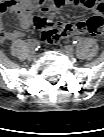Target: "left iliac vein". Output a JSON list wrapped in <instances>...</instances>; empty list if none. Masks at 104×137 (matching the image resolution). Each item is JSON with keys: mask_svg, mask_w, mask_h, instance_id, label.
I'll list each match as a JSON object with an SVG mask.
<instances>
[{"mask_svg": "<svg viewBox=\"0 0 104 137\" xmlns=\"http://www.w3.org/2000/svg\"><path fill=\"white\" fill-rule=\"evenodd\" d=\"M63 49L68 54H72L74 52V48L71 45H66L63 47Z\"/></svg>", "mask_w": 104, "mask_h": 137, "instance_id": "4c4485c4", "label": "left iliac vein"}]
</instances>
